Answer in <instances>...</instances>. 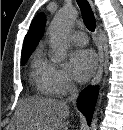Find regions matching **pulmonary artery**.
<instances>
[{
	"instance_id": "obj_1",
	"label": "pulmonary artery",
	"mask_w": 123,
	"mask_h": 130,
	"mask_svg": "<svg viewBox=\"0 0 123 130\" xmlns=\"http://www.w3.org/2000/svg\"><path fill=\"white\" fill-rule=\"evenodd\" d=\"M71 39L73 40L74 43L80 46H84L88 42L86 34L82 31L73 32V34L71 35Z\"/></svg>"
}]
</instances>
